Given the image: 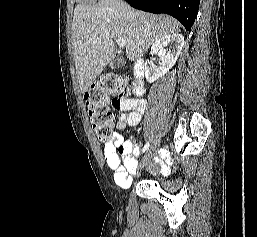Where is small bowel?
<instances>
[{"label":"small bowel","mask_w":257,"mask_h":237,"mask_svg":"<svg viewBox=\"0 0 257 237\" xmlns=\"http://www.w3.org/2000/svg\"><path fill=\"white\" fill-rule=\"evenodd\" d=\"M113 106L121 114L115 124L117 131L104 145L102 153L105 162L113 171L116 184L125 188L131 183V175L137 172L138 161L136 157L139 154V147L133 137L125 139L121 132H124L127 127H134L139 124L147 103L140 98H125L113 103ZM162 171L167 174L169 169L163 166Z\"/></svg>","instance_id":"1"}]
</instances>
